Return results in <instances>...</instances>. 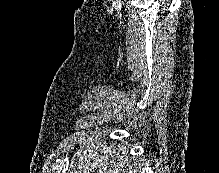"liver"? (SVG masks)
I'll list each match as a JSON object with an SVG mask.
<instances>
[{
	"label": "liver",
	"instance_id": "liver-1",
	"mask_svg": "<svg viewBox=\"0 0 219 173\" xmlns=\"http://www.w3.org/2000/svg\"><path fill=\"white\" fill-rule=\"evenodd\" d=\"M122 151V153H121ZM77 173H137V163L124 153V148L91 138L73 156Z\"/></svg>",
	"mask_w": 219,
	"mask_h": 173
}]
</instances>
